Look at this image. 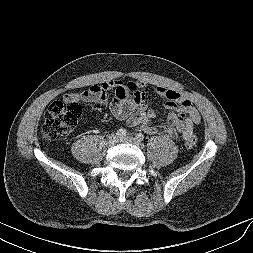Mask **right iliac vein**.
I'll use <instances>...</instances> for the list:
<instances>
[{
  "mask_svg": "<svg viewBox=\"0 0 253 253\" xmlns=\"http://www.w3.org/2000/svg\"><path fill=\"white\" fill-rule=\"evenodd\" d=\"M107 142L110 146H113L119 142V137L115 134L109 135Z\"/></svg>",
  "mask_w": 253,
  "mask_h": 253,
  "instance_id": "obj_1",
  "label": "right iliac vein"
}]
</instances>
